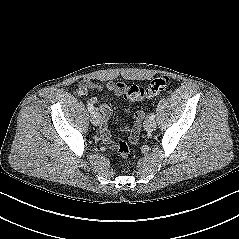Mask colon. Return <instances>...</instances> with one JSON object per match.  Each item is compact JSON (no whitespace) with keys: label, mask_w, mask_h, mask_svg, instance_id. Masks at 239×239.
Instances as JSON below:
<instances>
[{"label":"colon","mask_w":239,"mask_h":239,"mask_svg":"<svg viewBox=\"0 0 239 239\" xmlns=\"http://www.w3.org/2000/svg\"><path fill=\"white\" fill-rule=\"evenodd\" d=\"M168 84L169 78L167 76H159L150 81V83L146 86H128L124 90V99L127 101H138L152 98L165 90ZM134 132L136 134H139L138 117L134 125ZM116 151L118 155L123 159H127L130 155V148L128 144L123 140L117 141Z\"/></svg>","instance_id":"colon-1"}]
</instances>
